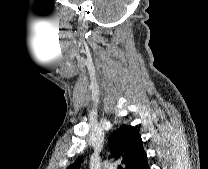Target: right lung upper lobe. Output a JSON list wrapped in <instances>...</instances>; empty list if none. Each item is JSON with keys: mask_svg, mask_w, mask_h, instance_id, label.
<instances>
[{"mask_svg": "<svg viewBox=\"0 0 208 169\" xmlns=\"http://www.w3.org/2000/svg\"><path fill=\"white\" fill-rule=\"evenodd\" d=\"M110 157L121 159L125 164V169H137L147 158L143 149L139 132L133 126L123 124L109 137ZM82 156L79 157L67 169H78ZM118 169H122L120 166Z\"/></svg>", "mask_w": 208, "mask_h": 169, "instance_id": "cb5924a9", "label": "right lung upper lobe"}]
</instances>
